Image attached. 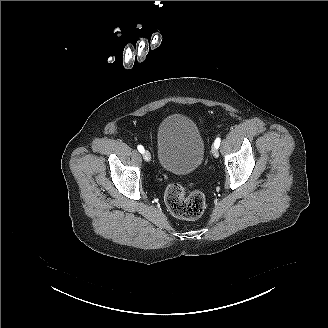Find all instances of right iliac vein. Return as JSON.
Returning <instances> with one entry per match:
<instances>
[{"instance_id":"63e3f726","label":"right iliac vein","mask_w":328,"mask_h":328,"mask_svg":"<svg viewBox=\"0 0 328 328\" xmlns=\"http://www.w3.org/2000/svg\"><path fill=\"white\" fill-rule=\"evenodd\" d=\"M143 159L146 161V162H149L151 160V154L148 150H145L143 152Z\"/></svg>"}]
</instances>
